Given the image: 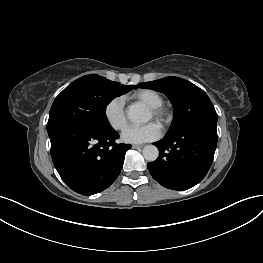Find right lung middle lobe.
<instances>
[{
  "instance_id": "dd1d6c3e",
  "label": "right lung middle lobe",
  "mask_w": 263,
  "mask_h": 263,
  "mask_svg": "<svg viewBox=\"0 0 263 263\" xmlns=\"http://www.w3.org/2000/svg\"><path fill=\"white\" fill-rule=\"evenodd\" d=\"M132 87L91 74L78 78L54 100L47 130L62 124H82L108 129L106 106L112 99L129 92Z\"/></svg>"
}]
</instances>
